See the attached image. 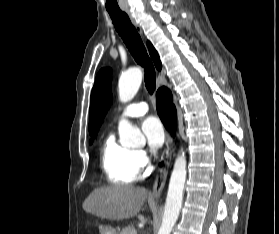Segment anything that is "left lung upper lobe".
<instances>
[{"mask_svg":"<svg viewBox=\"0 0 279 234\" xmlns=\"http://www.w3.org/2000/svg\"><path fill=\"white\" fill-rule=\"evenodd\" d=\"M111 104V69L103 68L96 76L91 92L89 133L94 139ZM92 143V140L91 142Z\"/></svg>","mask_w":279,"mask_h":234,"instance_id":"5c2ea615","label":"left lung upper lobe"}]
</instances>
